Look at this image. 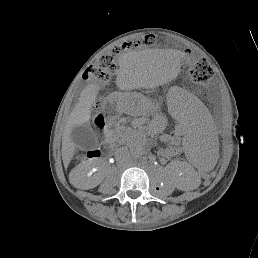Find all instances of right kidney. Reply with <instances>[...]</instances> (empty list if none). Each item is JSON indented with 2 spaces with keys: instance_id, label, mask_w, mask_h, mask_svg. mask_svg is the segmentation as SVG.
<instances>
[{
  "instance_id": "obj_1",
  "label": "right kidney",
  "mask_w": 258,
  "mask_h": 258,
  "mask_svg": "<svg viewBox=\"0 0 258 258\" xmlns=\"http://www.w3.org/2000/svg\"><path fill=\"white\" fill-rule=\"evenodd\" d=\"M91 174H92V169L87 170V171L85 170L84 172H81V170H78V169L74 171V177L78 180H84L86 178V176L89 177ZM98 183L99 182L96 181L89 188L95 187Z\"/></svg>"
}]
</instances>
